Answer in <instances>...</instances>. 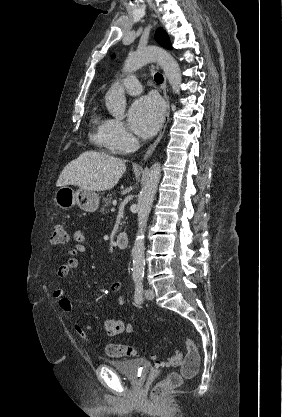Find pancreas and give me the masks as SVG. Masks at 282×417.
Returning <instances> with one entry per match:
<instances>
[{
  "label": "pancreas",
  "instance_id": "1",
  "mask_svg": "<svg viewBox=\"0 0 282 417\" xmlns=\"http://www.w3.org/2000/svg\"><path fill=\"white\" fill-rule=\"evenodd\" d=\"M103 206L102 209L100 211V213H103V211H105L106 206H109L110 202H112V194H107L106 198H103Z\"/></svg>",
  "mask_w": 282,
  "mask_h": 417
}]
</instances>
